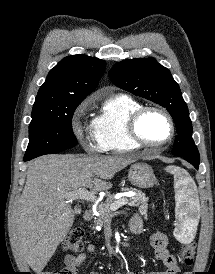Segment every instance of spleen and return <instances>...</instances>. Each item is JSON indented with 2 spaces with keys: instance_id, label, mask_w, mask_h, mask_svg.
<instances>
[{
  "instance_id": "3e777b00",
  "label": "spleen",
  "mask_w": 215,
  "mask_h": 274,
  "mask_svg": "<svg viewBox=\"0 0 215 274\" xmlns=\"http://www.w3.org/2000/svg\"><path fill=\"white\" fill-rule=\"evenodd\" d=\"M165 170L174 175L175 212L178 220L174 235L180 242L189 243L197 228L196 184L188 172L180 167L168 166Z\"/></svg>"
}]
</instances>
